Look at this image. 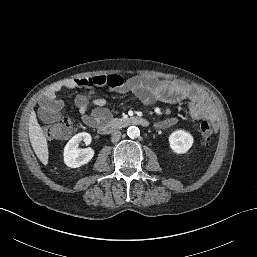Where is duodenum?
Wrapping results in <instances>:
<instances>
[{
    "label": "duodenum",
    "mask_w": 257,
    "mask_h": 257,
    "mask_svg": "<svg viewBox=\"0 0 257 257\" xmlns=\"http://www.w3.org/2000/svg\"><path fill=\"white\" fill-rule=\"evenodd\" d=\"M148 121L143 117H137V116H131L126 118H120V119H113L106 122H103L99 125L98 130L101 134H110L113 131L126 127V126H141V127H147Z\"/></svg>",
    "instance_id": "obj_1"
}]
</instances>
